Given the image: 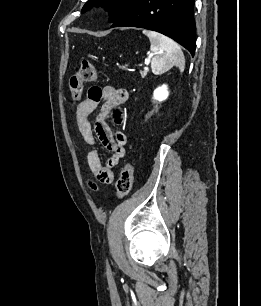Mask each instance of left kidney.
Masks as SVG:
<instances>
[{
    "mask_svg": "<svg viewBox=\"0 0 261 306\" xmlns=\"http://www.w3.org/2000/svg\"><path fill=\"white\" fill-rule=\"evenodd\" d=\"M169 95L167 85H162L161 87H158L157 89L154 90L153 93V103L155 104L156 102H162L165 99H167Z\"/></svg>",
    "mask_w": 261,
    "mask_h": 306,
    "instance_id": "5707ae66",
    "label": "left kidney"
}]
</instances>
